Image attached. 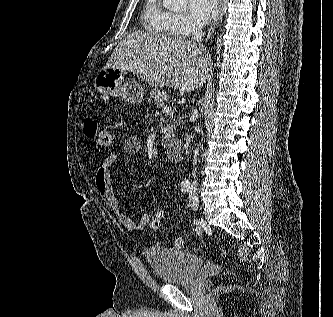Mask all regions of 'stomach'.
I'll list each match as a JSON object with an SVG mask.
<instances>
[{
  "mask_svg": "<svg viewBox=\"0 0 333 317\" xmlns=\"http://www.w3.org/2000/svg\"><path fill=\"white\" fill-rule=\"evenodd\" d=\"M124 70L104 68L94 79L95 90L101 94L119 96L125 101L137 104L143 100L142 86L135 80L123 82Z\"/></svg>",
  "mask_w": 333,
  "mask_h": 317,
  "instance_id": "stomach-1",
  "label": "stomach"
}]
</instances>
